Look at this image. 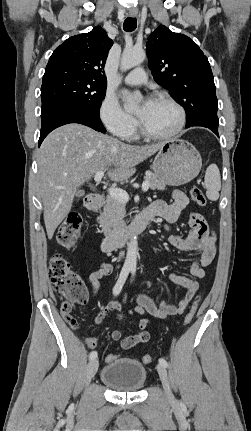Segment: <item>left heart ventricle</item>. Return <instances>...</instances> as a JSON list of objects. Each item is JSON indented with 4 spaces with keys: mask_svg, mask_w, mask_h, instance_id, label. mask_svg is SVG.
Instances as JSON below:
<instances>
[{
    "mask_svg": "<svg viewBox=\"0 0 251 431\" xmlns=\"http://www.w3.org/2000/svg\"><path fill=\"white\" fill-rule=\"evenodd\" d=\"M136 114L147 130L157 134L171 131L178 122L177 110L164 101H152L147 108L141 105Z\"/></svg>",
    "mask_w": 251,
    "mask_h": 431,
    "instance_id": "left-heart-ventricle-1",
    "label": "left heart ventricle"
}]
</instances>
